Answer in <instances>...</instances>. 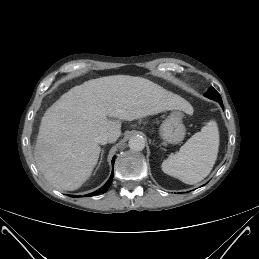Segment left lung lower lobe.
<instances>
[{"instance_id":"obj_1","label":"left lung lower lobe","mask_w":259,"mask_h":259,"mask_svg":"<svg viewBox=\"0 0 259 259\" xmlns=\"http://www.w3.org/2000/svg\"><path fill=\"white\" fill-rule=\"evenodd\" d=\"M218 102H219V103L221 104V106L223 107L222 100H219Z\"/></svg>"}]
</instances>
